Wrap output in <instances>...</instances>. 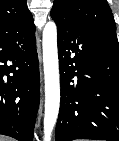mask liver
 Here are the masks:
<instances>
[{"label": "liver", "instance_id": "liver-1", "mask_svg": "<svg viewBox=\"0 0 119 141\" xmlns=\"http://www.w3.org/2000/svg\"><path fill=\"white\" fill-rule=\"evenodd\" d=\"M0 141H11L10 138L0 136Z\"/></svg>", "mask_w": 119, "mask_h": 141}]
</instances>
